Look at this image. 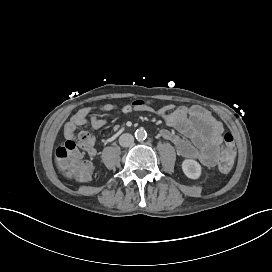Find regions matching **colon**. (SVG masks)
I'll return each instance as SVG.
<instances>
[{"instance_id": "colon-1", "label": "colon", "mask_w": 272, "mask_h": 272, "mask_svg": "<svg viewBox=\"0 0 272 272\" xmlns=\"http://www.w3.org/2000/svg\"><path fill=\"white\" fill-rule=\"evenodd\" d=\"M143 101L137 100L133 101L131 106L142 105ZM85 110H80L76 114V119L72 121V126H67V138L63 144H60L56 150V159L60 162L58 169L61 174L67 175L72 173V179L75 184L81 185L86 182L87 176L90 174L91 167L88 162L81 161L80 155H75L77 151V144L74 135L77 133L79 135L80 147L85 150L92 149L94 147L95 141L92 136H89L88 131L85 129L78 130L79 121L86 116ZM79 120V121H78ZM223 146L218 150L215 155H219L218 168L219 171L223 173L229 172L234 165L236 148L234 143L233 135L229 132L223 135Z\"/></svg>"}]
</instances>
